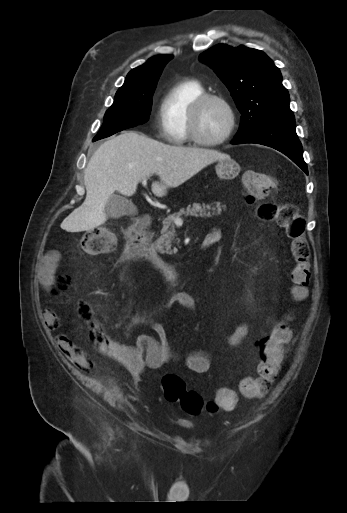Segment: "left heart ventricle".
Listing matches in <instances>:
<instances>
[{
    "label": "left heart ventricle",
    "mask_w": 347,
    "mask_h": 513,
    "mask_svg": "<svg viewBox=\"0 0 347 513\" xmlns=\"http://www.w3.org/2000/svg\"><path fill=\"white\" fill-rule=\"evenodd\" d=\"M229 115L225 107L216 101H210L202 109L199 121V133L205 139H218L227 130Z\"/></svg>",
    "instance_id": "left-heart-ventricle-1"
}]
</instances>
